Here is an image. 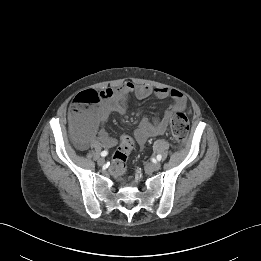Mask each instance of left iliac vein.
<instances>
[{"label":"left iliac vein","instance_id":"obj_1","mask_svg":"<svg viewBox=\"0 0 261 261\" xmlns=\"http://www.w3.org/2000/svg\"><path fill=\"white\" fill-rule=\"evenodd\" d=\"M161 167V163L160 162H154V163H150L146 165V169L148 171H157L159 170Z\"/></svg>","mask_w":261,"mask_h":261}]
</instances>
